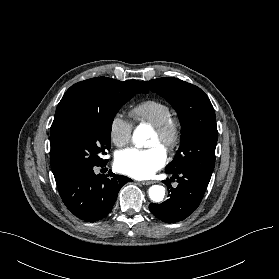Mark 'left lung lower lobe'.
Segmentation results:
<instances>
[{"instance_id":"obj_1","label":"left lung lower lobe","mask_w":279,"mask_h":279,"mask_svg":"<svg viewBox=\"0 0 279 279\" xmlns=\"http://www.w3.org/2000/svg\"><path fill=\"white\" fill-rule=\"evenodd\" d=\"M166 173L173 175L170 180L163 181L170 189L169 199L161 204L151 203L149 209L158 219L175 223L184 220L197 209L210 179L189 170ZM173 178L178 179L179 184L176 188L171 186Z\"/></svg>"}]
</instances>
